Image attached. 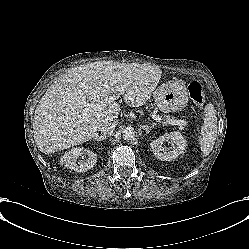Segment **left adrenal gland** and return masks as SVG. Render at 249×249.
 I'll return each mask as SVG.
<instances>
[{
	"label": "left adrenal gland",
	"instance_id": "obj_1",
	"mask_svg": "<svg viewBox=\"0 0 249 249\" xmlns=\"http://www.w3.org/2000/svg\"><path fill=\"white\" fill-rule=\"evenodd\" d=\"M154 125H156V124L154 123L151 126H149V125H143L142 129L146 130V132H150L154 128Z\"/></svg>",
	"mask_w": 249,
	"mask_h": 249
}]
</instances>
